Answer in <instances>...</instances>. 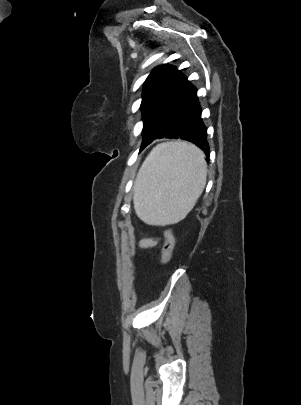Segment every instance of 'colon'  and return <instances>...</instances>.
Returning <instances> with one entry per match:
<instances>
[{"instance_id":"5ec220e1","label":"colon","mask_w":301,"mask_h":405,"mask_svg":"<svg viewBox=\"0 0 301 405\" xmlns=\"http://www.w3.org/2000/svg\"><path fill=\"white\" fill-rule=\"evenodd\" d=\"M164 238L165 242L162 250V264L166 265L171 260L175 245V238L170 230L164 231Z\"/></svg>"}]
</instances>
